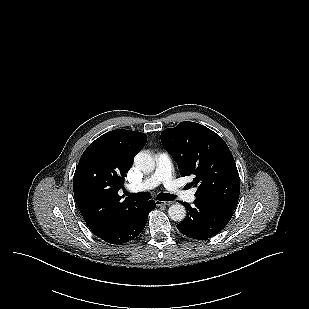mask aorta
Masks as SVG:
<instances>
[{
	"label": "aorta",
	"mask_w": 309,
	"mask_h": 309,
	"mask_svg": "<svg viewBox=\"0 0 309 309\" xmlns=\"http://www.w3.org/2000/svg\"><path fill=\"white\" fill-rule=\"evenodd\" d=\"M135 166L142 172L149 174L155 169V161L153 157L146 152H139L134 158ZM169 218L173 221L180 222L186 217V209L180 204L176 203L168 209Z\"/></svg>",
	"instance_id": "1"
}]
</instances>
